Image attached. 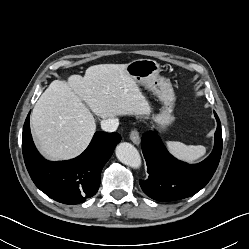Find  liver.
<instances>
[{"label": "liver", "mask_w": 249, "mask_h": 249, "mask_svg": "<svg viewBox=\"0 0 249 249\" xmlns=\"http://www.w3.org/2000/svg\"><path fill=\"white\" fill-rule=\"evenodd\" d=\"M125 66L94 65L84 77L72 75L68 82L54 80L49 85L31 114L35 142L47 158L71 159L87 148L96 130L92 112L103 119L151 113L148 100Z\"/></svg>", "instance_id": "6515ba94"}]
</instances>
